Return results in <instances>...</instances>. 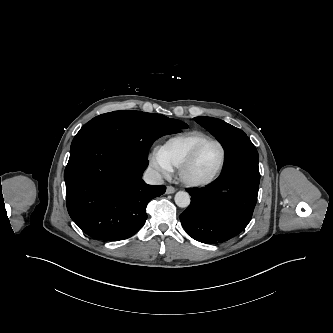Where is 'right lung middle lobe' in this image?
Instances as JSON below:
<instances>
[{
    "mask_svg": "<svg viewBox=\"0 0 333 333\" xmlns=\"http://www.w3.org/2000/svg\"><path fill=\"white\" fill-rule=\"evenodd\" d=\"M188 125L161 114L141 111H113L85 124L72 145L85 139H100L119 146L131 155L147 160L153 142L163 135L180 132Z\"/></svg>",
    "mask_w": 333,
    "mask_h": 333,
    "instance_id": "right-lung-middle-lobe-1",
    "label": "right lung middle lobe"
}]
</instances>
